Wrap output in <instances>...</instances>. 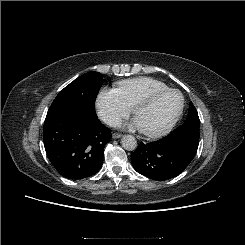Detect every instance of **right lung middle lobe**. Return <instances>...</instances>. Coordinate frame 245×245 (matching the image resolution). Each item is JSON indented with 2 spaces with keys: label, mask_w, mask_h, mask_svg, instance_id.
<instances>
[{
  "label": "right lung middle lobe",
  "mask_w": 245,
  "mask_h": 245,
  "mask_svg": "<svg viewBox=\"0 0 245 245\" xmlns=\"http://www.w3.org/2000/svg\"><path fill=\"white\" fill-rule=\"evenodd\" d=\"M103 82L101 73L91 71L83 74L59 92L48 112L79 109L95 115V100Z\"/></svg>",
  "instance_id": "1"
}]
</instances>
